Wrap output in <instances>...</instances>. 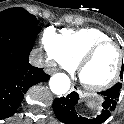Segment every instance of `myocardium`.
Listing matches in <instances>:
<instances>
[{
    "instance_id": "f54148a6",
    "label": "myocardium",
    "mask_w": 124,
    "mask_h": 124,
    "mask_svg": "<svg viewBox=\"0 0 124 124\" xmlns=\"http://www.w3.org/2000/svg\"><path fill=\"white\" fill-rule=\"evenodd\" d=\"M107 46H114L118 52V64H117V68H116L114 75L109 81L103 84L93 85V84L86 83L81 78V73L84 67L87 65L88 62H90L95 57V55L102 48H105ZM123 68H124V50L121 48V46L118 43L112 40L103 41V42H99L95 44L81 57V59L77 63L78 76L80 78L82 85L87 90L92 91V92H103L113 87L120 80L121 75L123 73Z\"/></svg>"
}]
</instances>
